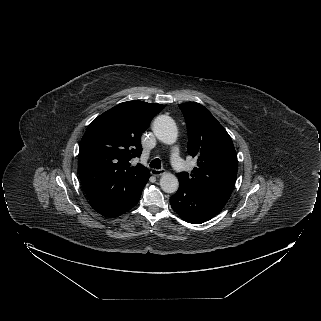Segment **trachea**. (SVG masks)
I'll use <instances>...</instances> for the list:
<instances>
[{
    "instance_id": "trachea-1",
    "label": "trachea",
    "mask_w": 321,
    "mask_h": 321,
    "mask_svg": "<svg viewBox=\"0 0 321 321\" xmlns=\"http://www.w3.org/2000/svg\"><path fill=\"white\" fill-rule=\"evenodd\" d=\"M151 168L160 169L161 168V160L159 158H155L150 163Z\"/></svg>"
}]
</instances>
